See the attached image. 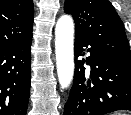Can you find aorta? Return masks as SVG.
<instances>
[{
    "instance_id": "762f6f07",
    "label": "aorta",
    "mask_w": 131,
    "mask_h": 115,
    "mask_svg": "<svg viewBox=\"0 0 131 115\" xmlns=\"http://www.w3.org/2000/svg\"><path fill=\"white\" fill-rule=\"evenodd\" d=\"M74 23L73 19L64 15L55 27V54L58 80L61 87L67 88L74 75Z\"/></svg>"
}]
</instances>
